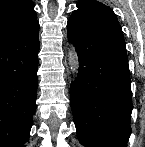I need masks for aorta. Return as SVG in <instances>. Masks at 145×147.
Masks as SVG:
<instances>
[{"label":"aorta","mask_w":145,"mask_h":147,"mask_svg":"<svg viewBox=\"0 0 145 147\" xmlns=\"http://www.w3.org/2000/svg\"><path fill=\"white\" fill-rule=\"evenodd\" d=\"M68 65H69L70 72L74 76H76L79 71V60H78L77 52L72 45H70L68 50Z\"/></svg>","instance_id":"aorta-1"}]
</instances>
